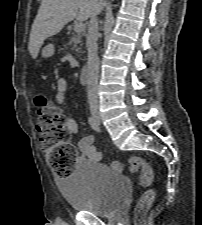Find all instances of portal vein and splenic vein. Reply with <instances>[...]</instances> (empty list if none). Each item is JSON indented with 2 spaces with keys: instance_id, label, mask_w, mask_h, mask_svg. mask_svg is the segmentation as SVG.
<instances>
[{
  "instance_id": "obj_1",
  "label": "portal vein and splenic vein",
  "mask_w": 202,
  "mask_h": 225,
  "mask_svg": "<svg viewBox=\"0 0 202 225\" xmlns=\"http://www.w3.org/2000/svg\"><path fill=\"white\" fill-rule=\"evenodd\" d=\"M84 30H85V24L84 23H82V22L75 23V25H74V31L76 33L82 32Z\"/></svg>"
}]
</instances>
